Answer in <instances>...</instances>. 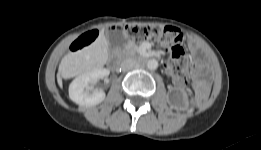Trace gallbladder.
<instances>
[{
    "instance_id": "1",
    "label": "gallbladder",
    "mask_w": 261,
    "mask_h": 150,
    "mask_svg": "<svg viewBox=\"0 0 261 150\" xmlns=\"http://www.w3.org/2000/svg\"><path fill=\"white\" fill-rule=\"evenodd\" d=\"M105 37L108 41V46L110 50L115 48H123L126 45V37L121 31L106 30Z\"/></svg>"
}]
</instances>
